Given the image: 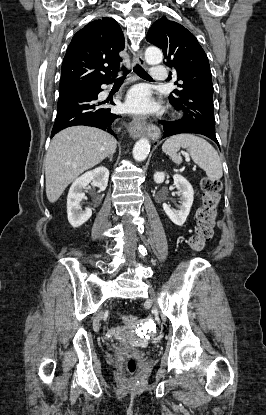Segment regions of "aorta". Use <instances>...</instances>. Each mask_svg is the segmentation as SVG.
Wrapping results in <instances>:
<instances>
[{
	"mask_svg": "<svg viewBox=\"0 0 266 415\" xmlns=\"http://www.w3.org/2000/svg\"><path fill=\"white\" fill-rule=\"evenodd\" d=\"M162 52L156 47H148L145 51V60L150 65L161 63ZM150 151V143L146 138H141L133 148V157L136 161H143L147 158Z\"/></svg>",
	"mask_w": 266,
	"mask_h": 415,
	"instance_id": "aorta-1",
	"label": "aorta"
}]
</instances>
